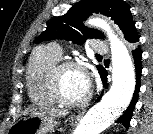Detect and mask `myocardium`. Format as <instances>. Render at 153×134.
<instances>
[{"label":"myocardium","instance_id":"myocardium-1","mask_svg":"<svg viewBox=\"0 0 153 134\" xmlns=\"http://www.w3.org/2000/svg\"><path fill=\"white\" fill-rule=\"evenodd\" d=\"M66 69H77L82 71L87 78H89V73L85 65L80 62L73 60H59L54 64L48 74V84L49 90L55 101L61 105L68 107H79L86 104L90 97L91 91L81 100L72 101L64 97L61 91V75Z\"/></svg>","mask_w":153,"mask_h":134}]
</instances>
